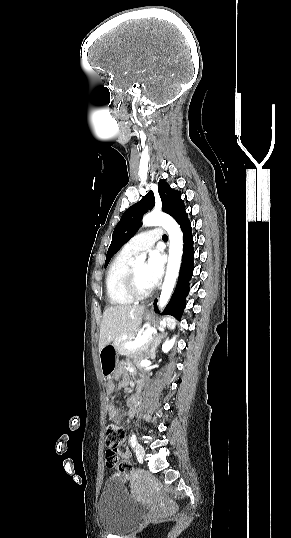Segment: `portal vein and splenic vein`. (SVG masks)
Segmentation results:
<instances>
[{
	"instance_id": "portal-vein-and-splenic-vein-1",
	"label": "portal vein and splenic vein",
	"mask_w": 291,
	"mask_h": 538,
	"mask_svg": "<svg viewBox=\"0 0 291 538\" xmlns=\"http://www.w3.org/2000/svg\"><path fill=\"white\" fill-rule=\"evenodd\" d=\"M154 332H156L154 328H148L147 330L144 331L142 335L138 336L134 341L127 342L125 344V348L133 349V348H138V347L143 346L144 344L147 343L148 337Z\"/></svg>"
}]
</instances>
